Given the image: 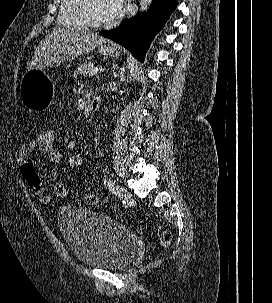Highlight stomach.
<instances>
[{"instance_id":"obj_1","label":"stomach","mask_w":272,"mask_h":303,"mask_svg":"<svg viewBox=\"0 0 272 303\" xmlns=\"http://www.w3.org/2000/svg\"><path fill=\"white\" fill-rule=\"evenodd\" d=\"M98 52L105 57L119 56V50L106 41L98 46ZM20 96L23 105L30 111L47 108L54 96V85L45 69H32L25 72L20 83Z\"/></svg>"}]
</instances>
